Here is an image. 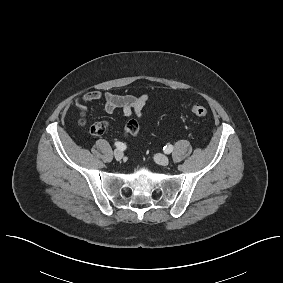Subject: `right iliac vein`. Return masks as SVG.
<instances>
[{"instance_id": "63e3f726", "label": "right iliac vein", "mask_w": 283, "mask_h": 283, "mask_svg": "<svg viewBox=\"0 0 283 283\" xmlns=\"http://www.w3.org/2000/svg\"><path fill=\"white\" fill-rule=\"evenodd\" d=\"M114 157L116 160L120 161L123 158V152L120 149L114 150Z\"/></svg>"}]
</instances>
